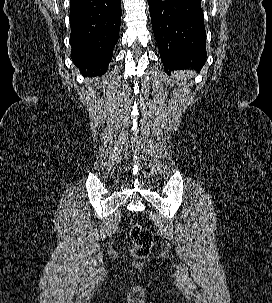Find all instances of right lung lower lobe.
I'll return each instance as SVG.
<instances>
[{
  "instance_id": "98d812e1",
  "label": "right lung lower lobe",
  "mask_w": 272,
  "mask_h": 303,
  "mask_svg": "<svg viewBox=\"0 0 272 303\" xmlns=\"http://www.w3.org/2000/svg\"><path fill=\"white\" fill-rule=\"evenodd\" d=\"M120 23L121 0H70L71 58L80 71H107Z\"/></svg>"
}]
</instances>
